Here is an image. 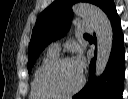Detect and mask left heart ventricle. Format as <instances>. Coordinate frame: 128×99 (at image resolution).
Instances as JSON below:
<instances>
[{
  "instance_id": "left-heart-ventricle-1",
  "label": "left heart ventricle",
  "mask_w": 128,
  "mask_h": 99,
  "mask_svg": "<svg viewBox=\"0 0 128 99\" xmlns=\"http://www.w3.org/2000/svg\"><path fill=\"white\" fill-rule=\"evenodd\" d=\"M81 80V71L74 61L62 63L46 76V84L56 90L69 91L75 88Z\"/></svg>"
}]
</instances>
